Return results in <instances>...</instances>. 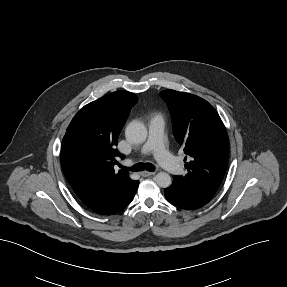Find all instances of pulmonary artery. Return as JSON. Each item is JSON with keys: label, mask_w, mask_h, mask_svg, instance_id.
Returning a JSON list of instances; mask_svg holds the SVG:
<instances>
[{"label": "pulmonary artery", "mask_w": 287, "mask_h": 287, "mask_svg": "<svg viewBox=\"0 0 287 287\" xmlns=\"http://www.w3.org/2000/svg\"><path fill=\"white\" fill-rule=\"evenodd\" d=\"M153 152L156 160L171 174L181 175L183 167L178 159L172 156L165 146L164 122L159 117L149 121V135L141 148V153Z\"/></svg>", "instance_id": "obj_1"}]
</instances>
